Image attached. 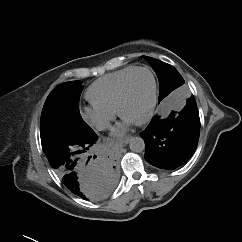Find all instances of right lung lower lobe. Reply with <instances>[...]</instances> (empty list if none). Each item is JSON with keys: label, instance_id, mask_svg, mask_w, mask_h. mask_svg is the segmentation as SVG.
I'll list each match as a JSON object with an SVG mask.
<instances>
[{"label": "right lung lower lobe", "instance_id": "1", "mask_svg": "<svg viewBox=\"0 0 242 242\" xmlns=\"http://www.w3.org/2000/svg\"><path fill=\"white\" fill-rule=\"evenodd\" d=\"M97 135L81 137L61 144L46 153L50 165L73 194L88 200L108 196L116 186L117 171L113 161L92 157Z\"/></svg>", "mask_w": 242, "mask_h": 242}]
</instances>
